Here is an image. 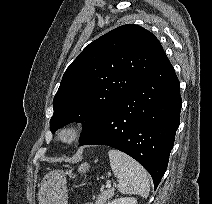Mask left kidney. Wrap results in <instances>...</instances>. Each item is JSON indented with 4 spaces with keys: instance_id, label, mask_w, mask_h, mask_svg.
Listing matches in <instances>:
<instances>
[{
    "instance_id": "left-kidney-1",
    "label": "left kidney",
    "mask_w": 212,
    "mask_h": 204,
    "mask_svg": "<svg viewBox=\"0 0 212 204\" xmlns=\"http://www.w3.org/2000/svg\"><path fill=\"white\" fill-rule=\"evenodd\" d=\"M108 204H137V200L134 197H122L114 199Z\"/></svg>"
}]
</instances>
